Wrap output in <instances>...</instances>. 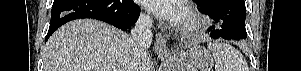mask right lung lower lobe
Wrapping results in <instances>:
<instances>
[{"label": "right lung lower lobe", "instance_id": "obj_1", "mask_svg": "<svg viewBox=\"0 0 301 71\" xmlns=\"http://www.w3.org/2000/svg\"><path fill=\"white\" fill-rule=\"evenodd\" d=\"M139 15L140 8L133 0H54L46 40L57 28L71 20L93 18L126 30Z\"/></svg>", "mask_w": 301, "mask_h": 71}]
</instances>
